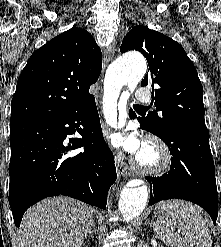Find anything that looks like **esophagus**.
<instances>
[{
  "label": "esophagus",
  "instance_id": "34e87169",
  "mask_svg": "<svg viewBox=\"0 0 221 247\" xmlns=\"http://www.w3.org/2000/svg\"><path fill=\"white\" fill-rule=\"evenodd\" d=\"M115 53V48L113 46H109L108 49H107V52L105 54V57H104V62H103V70L105 69L106 65L108 64V62L112 59L113 55ZM121 107L124 109L121 110L120 114H121V117L123 120H125V117H126V112H125V103L122 102L121 103ZM104 127V133L105 135H109V128H107L106 125L103 126ZM122 154H119L117 156H115L116 158V162H117V170H118V173L121 174L122 176L124 177H129L132 175V172L129 171L127 168H125L121 163H120V158H121Z\"/></svg>",
  "mask_w": 221,
  "mask_h": 247
}]
</instances>
